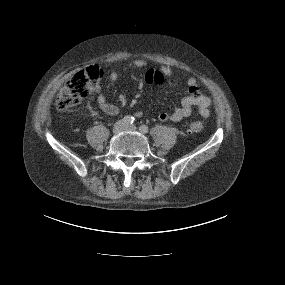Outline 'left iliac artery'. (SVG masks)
<instances>
[{
	"label": "left iliac artery",
	"mask_w": 285,
	"mask_h": 285,
	"mask_svg": "<svg viewBox=\"0 0 285 285\" xmlns=\"http://www.w3.org/2000/svg\"><path fill=\"white\" fill-rule=\"evenodd\" d=\"M140 132L142 133H147L148 132V127L146 125H141L139 127Z\"/></svg>",
	"instance_id": "obj_1"
}]
</instances>
